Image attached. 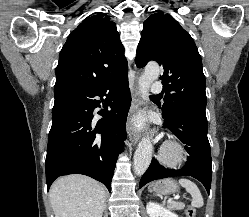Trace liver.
Instances as JSON below:
<instances>
[{"label": "liver", "instance_id": "6515ba94", "mask_svg": "<svg viewBox=\"0 0 249 217\" xmlns=\"http://www.w3.org/2000/svg\"><path fill=\"white\" fill-rule=\"evenodd\" d=\"M49 195L55 217H102L106 202L100 183L76 174L57 179Z\"/></svg>", "mask_w": 249, "mask_h": 217}]
</instances>
